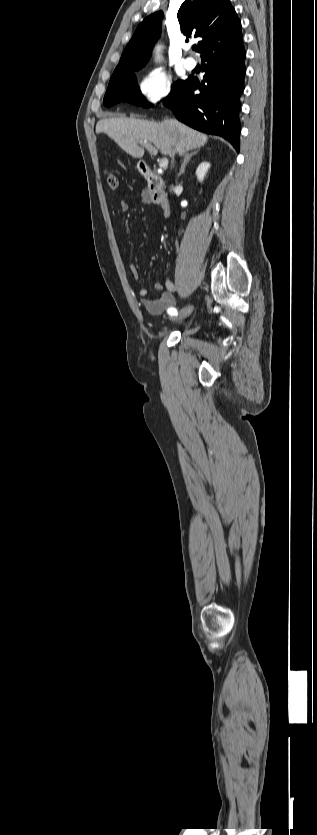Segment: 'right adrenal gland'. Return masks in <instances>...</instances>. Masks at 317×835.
Wrapping results in <instances>:
<instances>
[{
    "instance_id": "obj_1",
    "label": "right adrenal gland",
    "mask_w": 317,
    "mask_h": 835,
    "mask_svg": "<svg viewBox=\"0 0 317 835\" xmlns=\"http://www.w3.org/2000/svg\"><path fill=\"white\" fill-rule=\"evenodd\" d=\"M198 152H199V150H195V151H193L192 153H190V154H186V155L184 156V161H183V164H182V166H181V169H180V171H179V173H178V177H179V176H181L182 174H184V172H185V168H186V166H187L188 162L190 161V159L192 158V156H194V155H195V154H197Z\"/></svg>"
}]
</instances>
